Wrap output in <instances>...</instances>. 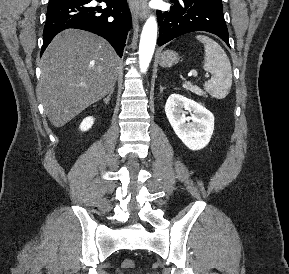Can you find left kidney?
<instances>
[{
    "mask_svg": "<svg viewBox=\"0 0 289 274\" xmlns=\"http://www.w3.org/2000/svg\"><path fill=\"white\" fill-rule=\"evenodd\" d=\"M191 113L186 117V111ZM166 116L176 135L191 150L203 149L214 130V116L199 103L179 94H171L165 105Z\"/></svg>",
    "mask_w": 289,
    "mask_h": 274,
    "instance_id": "left-kidney-1",
    "label": "left kidney"
}]
</instances>
